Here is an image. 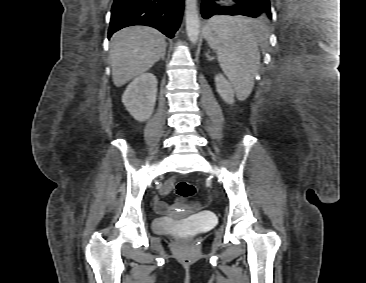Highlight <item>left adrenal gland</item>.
Returning <instances> with one entry per match:
<instances>
[{
  "label": "left adrenal gland",
  "instance_id": "a2214340",
  "mask_svg": "<svg viewBox=\"0 0 366 283\" xmlns=\"http://www.w3.org/2000/svg\"><path fill=\"white\" fill-rule=\"evenodd\" d=\"M206 57H207L208 61H212L213 60V57H210L208 53L206 54Z\"/></svg>",
  "mask_w": 366,
  "mask_h": 283
}]
</instances>
